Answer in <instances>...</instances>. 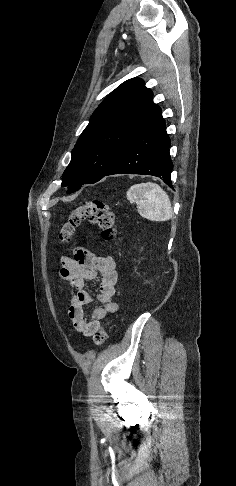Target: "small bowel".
I'll return each instance as SVG.
<instances>
[{
	"instance_id": "small-bowel-1",
	"label": "small bowel",
	"mask_w": 236,
	"mask_h": 486,
	"mask_svg": "<svg viewBox=\"0 0 236 486\" xmlns=\"http://www.w3.org/2000/svg\"><path fill=\"white\" fill-rule=\"evenodd\" d=\"M61 276L75 291L71 298L68 315L74 329L83 336H92L100 328L101 320L118 310L113 300L118 272L111 256H96L84 248H77L73 257L61 260ZM99 276L100 285L97 300L101 306L93 309L91 317L84 316V306L93 301V296L85 289L87 281Z\"/></svg>"
}]
</instances>
